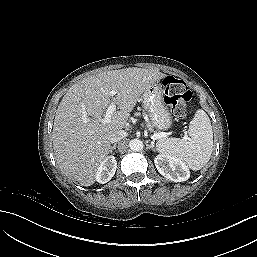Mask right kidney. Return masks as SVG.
I'll list each match as a JSON object with an SVG mask.
<instances>
[{
	"instance_id": "ca27d5eb",
	"label": "right kidney",
	"mask_w": 257,
	"mask_h": 257,
	"mask_svg": "<svg viewBox=\"0 0 257 257\" xmlns=\"http://www.w3.org/2000/svg\"><path fill=\"white\" fill-rule=\"evenodd\" d=\"M117 161L114 156L106 157L97 167L95 179L101 184H105L112 179L116 172Z\"/></svg>"
}]
</instances>
